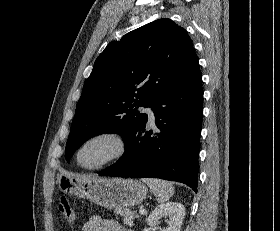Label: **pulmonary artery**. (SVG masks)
I'll return each instance as SVG.
<instances>
[{
	"label": "pulmonary artery",
	"instance_id": "1",
	"mask_svg": "<svg viewBox=\"0 0 280 231\" xmlns=\"http://www.w3.org/2000/svg\"><path fill=\"white\" fill-rule=\"evenodd\" d=\"M144 112H145V113H154L153 110H144ZM154 120H155V118H148V121H149L150 123H153Z\"/></svg>",
	"mask_w": 280,
	"mask_h": 231
}]
</instances>
